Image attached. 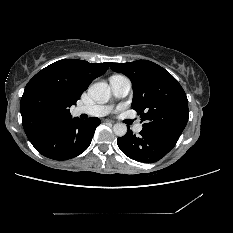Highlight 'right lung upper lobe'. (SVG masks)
<instances>
[{
  "label": "right lung upper lobe",
  "instance_id": "1",
  "mask_svg": "<svg viewBox=\"0 0 233 233\" xmlns=\"http://www.w3.org/2000/svg\"><path fill=\"white\" fill-rule=\"evenodd\" d=\"M109 63L63 59L39 71L26 85L20 103L24 131L30 142L72 120L69 108Z\"/></svg>",
  "mask_w": 233,
  "mask_h": 233
}]
</instances>
